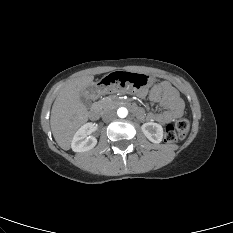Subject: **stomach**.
Here are the masks:
<instances>
[{"label":"stomach","mask_w":233,"mask_h":233,"mask_svg":"<svg viewBox=\"0 0 233 233\" xmlns=\"http://www.w3.org/2000/svg\"><path fill=\"white\" fill-rule=\"evenodd\" d=\"M154 78L146 73H135L134 71L105 74L101 78V85L98 87L100 94L110 90H118L123 87L145 88L152 85Z\"/></svg>","instance_id":"1"}]
</instances>
